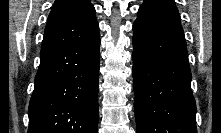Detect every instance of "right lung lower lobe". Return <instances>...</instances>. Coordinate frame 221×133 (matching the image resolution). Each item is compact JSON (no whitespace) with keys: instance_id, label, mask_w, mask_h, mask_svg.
Masks as SVG:
<instances>
[{"instance_id":"98d812e1","label":"right lung lower lobe","mask_w":221,"mask_h":133,"mask_svg":"<svg viewBox=\"0 0 221 133\" xmlns=\"http://www.w3.org/2000/svg\"><path fill=\"white\" fill-rule=\"evenodd\" d=\"M99 31L80 45L41 48L28 133H97Z\"/></svg>"}]
</instances>
